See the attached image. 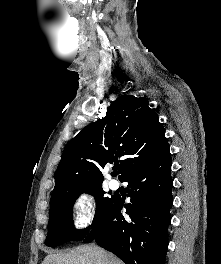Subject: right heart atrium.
Here are the masks:
<instances>
[{
    "instance_id": "1",
    "label": "right heart atrium",
    "mask_w": 221,
    "mask_h": 264,
    "mask_svg": "<svg viewBox=\"0 0 221 264\" xmlns=\"http://www.w3.org/2000/svg\"><path fill=\"white\" fill-rule=\"evenodd\" d=\"M72 224L76 231H83L94 222L99 204L90 192L80 193L72 202Z\"/></svg>"
}]
</instances>
